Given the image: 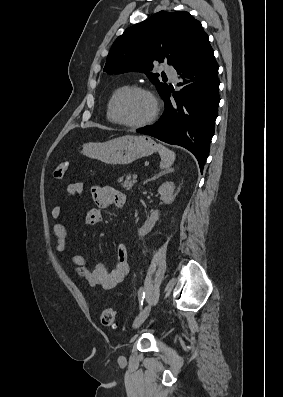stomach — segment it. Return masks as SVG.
Wrapping results in <instances>:
<instances>
[{
  "instance_id": "1",
  "label": "stomach",
  "mask_w": 283,
  "mask_h": 397,
  "mask_svg": "<svg viewBox=\"0 0 283 397\" xmlns=\"http://www.w3.org/2000/svg\"><path fill=\"white\" fill-rule=\"evenodd\" d=\"M157 149V144L150 137L126 135L102 143L88 142L83 145L82 152L106 164L127 165L150 156Z\"/></svg>"
}]
</instances>
